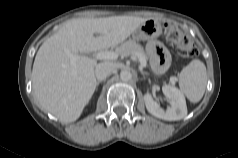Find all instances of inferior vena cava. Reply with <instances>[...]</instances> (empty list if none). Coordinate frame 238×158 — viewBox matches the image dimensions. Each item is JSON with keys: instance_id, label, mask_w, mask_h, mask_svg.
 <instances>
[{"instance_id": "inferior-vena-cava-1", "label": "inferior vena cava", "mask_w": 238, "mask_h": 158, "mask_svg": "<svg viewBox=\"0 0 238 158\" xmlns=\"http://www.w3.org/2000/svg\"><path fill=\"white\" fill-rule=\"evenodd\" d=\"M112 66L109 63L103 62L96 65L95 75L98 81L106 79L112 72Z\"/></svg>"}]
</instances>
